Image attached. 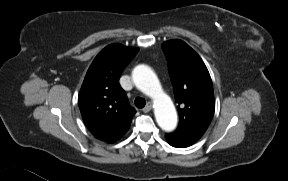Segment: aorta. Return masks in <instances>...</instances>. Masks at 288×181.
Segmentation results:
<instances>
[{
    "label": "aorta",
    "instance_id": "obj_1",
    "mask_svg": "<svg viewBox=\"0 0 288 181\" xmlns=\"http://www.w3.org/2000/svg\"><path fill=\"white\" fill-rule=\"evenodd\" d=\"M136 87L154 100V114L159 127L172 131L177 126V113L170 97L162 90L155 72L146 65H138L132 72Z\"/></svg>",
    "mask_w": 288,
    "mask_h": 181
}]
</instances>
